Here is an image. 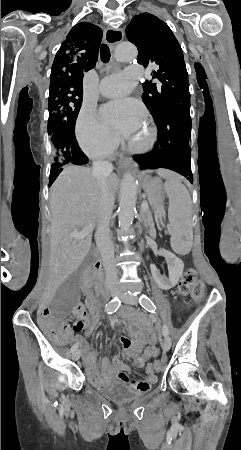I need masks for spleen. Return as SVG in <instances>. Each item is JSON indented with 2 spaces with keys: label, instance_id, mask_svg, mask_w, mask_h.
Here are the masks:
<instances>
[{
  "label": "spleen",
  "instance_id": "obj_1",
  "mask_svg": "<svg viewBox=\"0 0 241 450\" xmlns=\"http://www.w3.org/2000/svg\"><path fill=\"white\" fill-rule=\"evenodd\" d=\"M160 178H165V192L169 198L170 244L179 256H186L193 246V232L190 228L191 196L179 178L172 176L168 170H158ZM180 211V212H172Z\"/></svg>",
  "mask_w": 241,
  "mask_h": 450
}]
</instances>
